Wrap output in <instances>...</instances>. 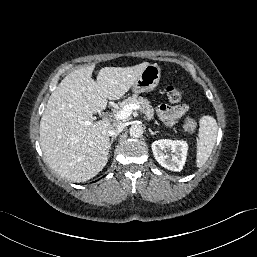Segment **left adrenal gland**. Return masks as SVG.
<instances>
[{
  "instance_id": "obj_1",
  "label": "left adrenal gland",
  "mask_w": 257,
  "mask_h": 257,
  "mask_svg": "<svg viewBox=\"0 0 257 257\" xmlns=\"http://www.w3.org/2000/svg\"><path fill=\"white\" fill-rule=\"evenodd\" d=\"M149 132L152 134V135H154V134H156V133H158V131H152L151 129H149Z\"/></svg>"
}]
</instances>
